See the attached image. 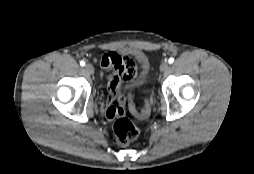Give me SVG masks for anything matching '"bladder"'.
Segmentation results:
<instances>
[{"label": "bladder", "mask_w": 254, "mask_h": 174, "mask_svg": "<svg viewBox=\"0 0 254 174\" xmlns=\"http://www.w3.org/2000/svg\"><path fill=\"white\" fill-rule=\"evenodd\" d=\"M139 62L140 68L132 84L133 89L136 90L144 89L148 85L150 77V63L148 58L141 54Z\"/></svg>", "instance_id": "1"}]
</instances>
